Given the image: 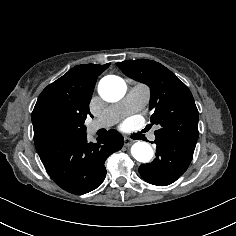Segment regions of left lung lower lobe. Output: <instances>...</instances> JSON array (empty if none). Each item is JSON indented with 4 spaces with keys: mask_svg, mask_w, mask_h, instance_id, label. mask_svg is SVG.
<instances>
[{
    "mask_svg": "<svg viewBox=\"0 0 236 236\" xmlns=\"http://www.w3.org/2000/svg\"><path fill=\"white\" fill-rule=\"evenodd\" d=\"M156 158L139 167L141 177L157 186L175 182L188 168L195 145L169 137H156Z\"/></svg>",
    "mask_w": 236,
    "mask_h": 236,
    "instance_id": "obj_1",
    "label": "left lung lower lobe"
}]
</instances>
